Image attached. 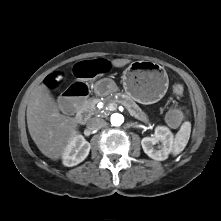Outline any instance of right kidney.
Returning <instances> with one entry per match:
<instances>
[{
    "label": "right kidney",
    "mask_w": 221,
    "mask_h": 221,
    "mask_svg": "<svg viewBox=\"0 0 221 221\" xmlns=\"http://www.w3.org/2000/svg\"><path fill=\"white\" fill-rule=\"evenodd\" d=\"M90 148V143L82 135H74L62 154L63 164L72 167L81 163L88 156Z\"/></svg>",
    "instance_id": "right-kidney-1"
}]
</instances>
